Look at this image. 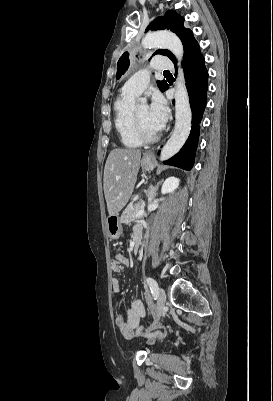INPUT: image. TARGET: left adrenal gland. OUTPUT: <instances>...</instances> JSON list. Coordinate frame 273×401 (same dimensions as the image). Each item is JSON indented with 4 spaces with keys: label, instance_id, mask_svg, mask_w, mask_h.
Instances as JSON below:
<instances>
[{
    "label": "left adrenal gland",
    "instance_id": "obj_1",
    "mask_svg": "<svg viewBox=\"0 0 273 401\" xmlns=\"http://www.w3.org/2000/svg\"><path fill=\"white\" fill-rule=\"evenodd\" d=\"M161 182H162V180H159V182H157L156 186H153V184H150V186L148 188V192H147V196L149 198L148 205H151L153 198H155V196L157 194L158 186H159V184H161Z\"/></svg>",
    "mask_w": 273,
    "mask_h": 401
}]
</instances>
